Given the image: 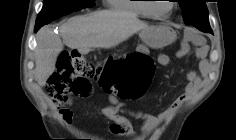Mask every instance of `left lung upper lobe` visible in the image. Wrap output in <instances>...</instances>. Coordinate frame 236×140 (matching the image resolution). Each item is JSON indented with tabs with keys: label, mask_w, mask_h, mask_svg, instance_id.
Segmentation results:
<instances>
[{
	"label": "left lung upper lobe",
	"mask_w": 236,
	"mask_h": 140,
	"mask_svg": "<svg viewBox=\"0 0 236 140\" xmlns=\"http://www.w3.org/2000/svg\"><path fill=\"white\" fill-rule=\"evenodd\" d=\"M181 9L182 16L187 25L195 26L197 29L212 33L208 20V10L205 0H177Z\"/></svg>",
	"instance_id": "left-lung-upper-lobe-1"
}]
</instances>
